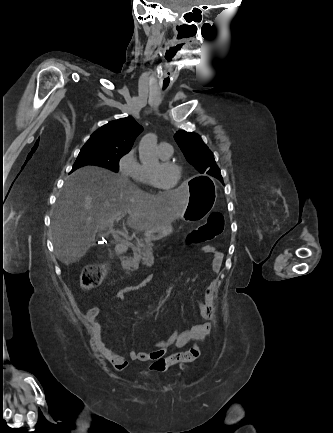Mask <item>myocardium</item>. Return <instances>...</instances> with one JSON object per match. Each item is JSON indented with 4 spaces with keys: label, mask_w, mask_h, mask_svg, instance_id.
Segmentation results:
<instances>
[{
    "label": "myocardium",
    "mask_w": 333,
    "mask_h": 433,
    "mask_svg": "<svg viewBox=\"0 0 333 433\" xmlns=\"http://www.w3.org/2000/svg\"><path fill=\"white\" fill-rule=\"evenodd\" d=\"M160 164H161V166H164V167L174 168V169H176L178 175L180 174V166L177 163H175L173 161H170V160H167V159L166 160H162L161 159ZM149 178H150L151 184L154 187H156L157 189H159V190H161V191H163L165 193H172L178 187V179H177L176 183L174 184V186L171 189H167V188L163 187L158 182L156 174L152 170H150V169H149Z\"/></svg>",
    "instance_id": "f54148a6"
}]
</instances>
